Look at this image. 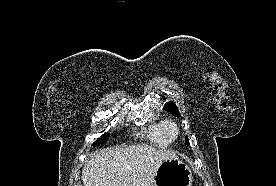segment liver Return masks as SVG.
<instances>
[{"label": "liver", "mask_w": 276, "mask_h": 186, "mask_svg": "<svg viewBox=\"0 0 276 186\" xmlns=\"http://www.w3.org/2000/svg\"><path fill=\"white\" fill-rule=\"evenodd\" d=\"M173 151L149 145L116 147L93 153L82 170L84 186H153L161 163Z\"/></svg>", "instance_id": "6515ba94"}]
</instances>
